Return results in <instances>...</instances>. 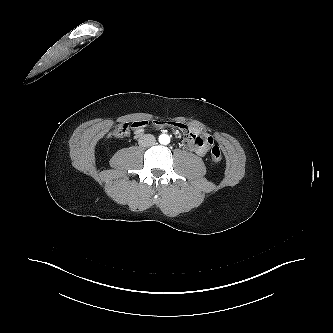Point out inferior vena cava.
Instances as JSON below:
<instances>
[{"label":"inferior vena cava","mask_w":333,"mask_h":333,"mask_svg":"<svg viewBox=\"0 0 333 333\" xmlns=\"http://www.w3.org/2000/svg\"><path fill=\"white\" fill-rule=\"evenodd\" d=\"M156 139L151 134H145L142 137L139 138V145L142 147H149L152 145H155Z\"/></svg>","instance_id":"inferior-vena-cava-1"}]
</instances>
